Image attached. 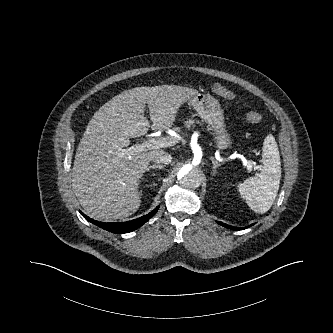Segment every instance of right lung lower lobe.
I'll return each instance as SVG.
<instances>
[{
	"mask_svg": "<svg viewBox=\"0 0 333 333\" xmlns=\"http://www.w3.org/2000/svg\"><path fill=\"white\" fill-rule=\"evenodd\" d=\"M159 206L156 207L153 211H151L149 214L144 215L140 218L134 219L132 221L127 222H116V223H105V222H98L95 221L85 214H83L81 211V215L89 222L113 233L121 234V233H128L136 230L137 228L141 227L144 223H146L155 213L157 212Z\"/></svg>",
	"mask_w": 333,
	"mask_h": 333,
	"instance_id": "98d812e1",
	"label": "right lung lower lobe"
}]
</instances>
